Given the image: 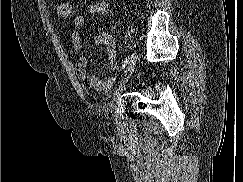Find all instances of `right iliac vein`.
Listing matches in <instances>:
<instances>
[{
  "label": "right iliac vein",
  "instance_id": "right-iliac-vein-1",
  "mask_svg": "<svg viewBox=\"0 0 243 182\" xmlns=\"http://www.w3.org/2000/svg\"><path fill=\"white\" fill-rule=\"evenodd\" d=\"M137 60H138V55L136 53L132 54V56L130 57V59L128 61L126 71L119 83V86H118V89H117L115 95H117L119 93V91L123 89L124 85L129 81V79L132 76L133 71L135 69Z\"/></svg>",
  "mask_w": 243,
  "mask_h": 182
}]
</instances>
